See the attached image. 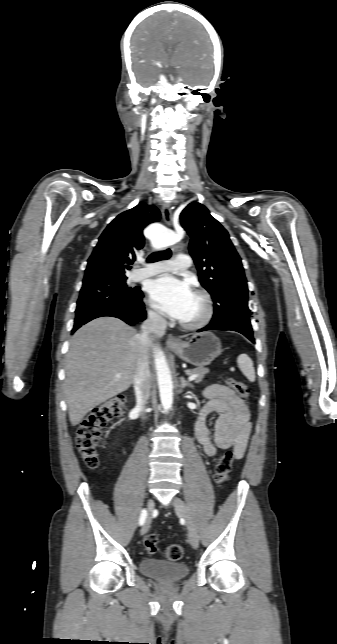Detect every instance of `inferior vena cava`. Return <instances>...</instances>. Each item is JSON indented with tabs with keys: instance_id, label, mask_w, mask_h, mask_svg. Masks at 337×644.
I'll return each instance as SVG.
<instances>
[{
	"instance_id": "obj_1",
	"label": "inferior vena cava",
	"mask_w": 337,
	"mask_h": 644,
	"mask_svg": "<svg viewBox=\"0 0 337 644\" xmlns=\"http://www.w3.org/2000/svg\"><path fill=\"white\" fill-rule=\"evenodd\" d=\"M165 328L166 320L160 314L155 312H149L147 320L142 325V333L140 334L142 353L138 359V366L133 380L136 395V407L139 410H143L145 408L151 388V375L147 350V347L151 342L149 334L152 332L164 334Z\"/></svg>"
}]
</instances>
